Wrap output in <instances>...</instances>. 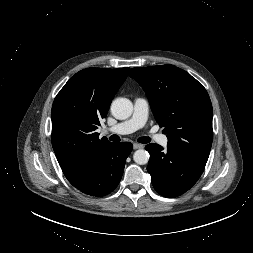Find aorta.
Segmentation results:
<instances>
[{"mask_svg":"<svg viewBox=\"0 0 253 253\" xmlns=\"http://www.w3.org/2000/svg\"><path fill=\"white\" fill-rule=\"evenodd\" d=\"M111 113L118 120L129 118L133 112V105L126 98H117L111 104ZM133 159L139 165H145L149 161V153L144 149H139L134 152Z\"/></svg>","mask_w":253,"mask_h":253,"instance_id":"aorta-1","label":"aorta"}]
</instances>
